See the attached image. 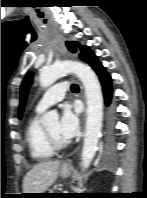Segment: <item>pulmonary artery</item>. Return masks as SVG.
I'll return each mask as SVG.
<instances>
[{
  "mask_svg": "<svg viewBox=\"0 0 147 198\" xmlns=\"http://www.w3.org/2000/svg\"><path fill=\"white\" fill-rule=\"evenodd\" d=\"M68 89L67 82H61L50 87L40 98L36 105L37 111H44L48 107L62 101Z\"/></svg>",
  "mask_w": 147,
  "mask_h": 198,
  "instance_id": "1",
  "label": "pulmonary artery"
}]
</instances>
